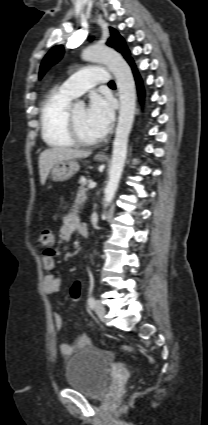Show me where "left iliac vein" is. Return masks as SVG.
<instances>
[{"mask_svg": "<svg viewBox=\"0 0 208 425\" xmlns=\"http://www.w3.org/2000/svg\"><path fill=\"white\" fill-rule=\"evenodd\" d=\"M95 312L96 314L103 319L106 313L105 307L100 300L95 302Z\"/></svg>", "mask_w": 208, "mask_h": 425, "instance_id": "obj_1", "label": "left iliac vein"}]
</instances>
